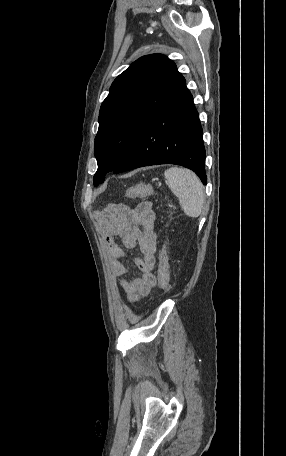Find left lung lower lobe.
Returning <instances> with one entry per match:
<instances>
[{
  "label": "left lung lower lobe",
  "instance_id": "left-lung-lower-lobe-1",
  "mask_svg": "<svg viewBox=\"0 0 286 456\" xmlns=\"http://www.w3.org/2000/svg\"><path fill=\"white\" fill-rule=\"evenodd\" d=\"M186 81L145 126L116 173L143 166L176 164L193 170L206 185V152L199 114Z\"/></svg>",
  "mask_w": 286,
  "mask_h": 456
}]
</instances>
